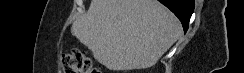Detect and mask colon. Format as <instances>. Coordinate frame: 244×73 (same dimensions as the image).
<instances>
[{"label":"colon","mask_w":244,"mask_h":73,"mask_svg":"<svg viewBox=\"0 0 244 73\" xmlns=\"http://www.w3.org/2000/svg\"><path fill=\"white\" fill-rule=\"evenodd\" d=\"M61 66L64 73H101L91 58L80 50L63 54Z\"/></svg>","instance_id":"1"}]
</instances>
